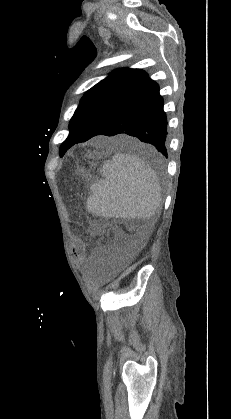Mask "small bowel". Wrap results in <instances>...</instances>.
<instances>
[{
  "label": "small bowel",
  "instance_id": "1",
  "mask_svg": "<svg viewBox=\"0 0 231 419\" xmlns=\"http://www.w3.org/2000/svg\"><path fill=\"white\" fill-rule=\"evenodd\" d=\"M74 251L77 255L83 256L85 252V245L80 240H75L73 244Z\"/></svg>",
  "mask_w": 231,
  "mask_h": 419
}]
</instances>
